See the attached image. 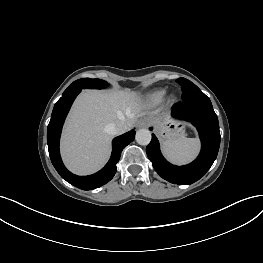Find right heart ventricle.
<instances>
[{"mask_svg": "<svg viewBox=\"0 0 263 263\" xmlns=\"http://www.w3.org/2000/svg\"><path fill=\"white\" fill-rule=\"evenodd\" d=\"M166 95V90L156 89L147 93L144 97V102L148 106H157L160 104Z\"/></svg>", "mask_w": 263, "mask_h": 263, "instance_id": "e07e8e85", "label": "right heart ventricle"}]
</instances>
